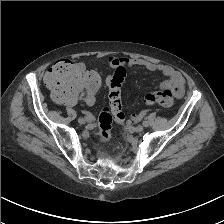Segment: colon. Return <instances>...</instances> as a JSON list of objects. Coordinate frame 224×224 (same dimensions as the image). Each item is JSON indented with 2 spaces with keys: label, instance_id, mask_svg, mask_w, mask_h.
<instances>
[{
  "label": "colon",
  "instance_id": "5ec220e1",
  "mask_svg": "<svg viewBox=\"0 0 224 224\" xmlns=\"http://www.w3.org/2000/svg\"><path fill=\"white\" fill-rule=\"evenodd\" d=\"M125 70L117 68L109 81V106L104 107L98 118V140L106 143L111 139L112 121L125 123L122 111L121 86ZM45 82L55 99L60 103L73 106L79 100L92 96L100 86V77L93 71L69 60L56 62L47 72ZM146 102L171 107L174 96L170 90L151 92L146 95Z\"/></svg>",
  "mask_w": 224,
  "mask_h": 224
}]
</instances>
